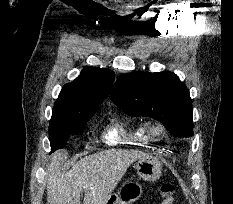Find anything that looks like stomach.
<instances>
[{
    "label": "stomach",
    "instance_id": "0dacf381",
    "mask_svg": "<svg viewBox=\"0 0 233 204\" xmlns=\"http://www.w3.org/2000/svg\"><path fill=\"white\" fill-rule=\"evenodd\" d=\"M137 174L145 181H156L162 174L161 163L152 156H144L137 160L135 164ZM141 191L139 186L134 182L123 183L117 193L113 196L115 200L112 204H131L137 197H139ZM111 197V196H110ZM110 198L106 204H109Z\"/></svg>",
    "mask_w": 233,
    "mask_h": 204
}]
</instances>
